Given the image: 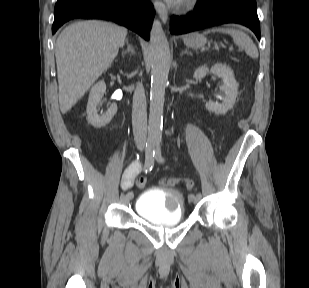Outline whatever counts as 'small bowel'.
Here are the masks:
<instances>
[{
  "label": "small bowel",
  "mask_w": 309,
  "mask_h": 288,
  "mask_svg": "<svg viewBox=\"0 0 309 288\" xmlns=\"http://www.w3.org/2000/svg\"><path fill=\"white\" fill-rule=\"evenodd\" d=\"M138 163L139 164L137 166H129L125 170L121 181L122 188L129 189L132 187L134 179L136 178L141 169V163L139 161Z\"/></svg>",
  "instance_id": "1"
}]
</instances>
